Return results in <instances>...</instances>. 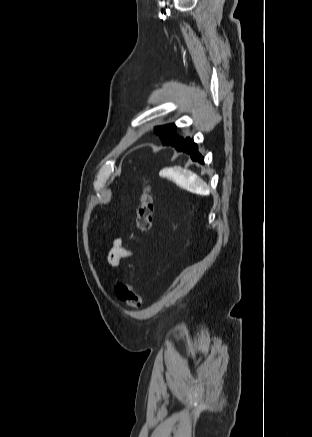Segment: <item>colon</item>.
<instances>
[{
  "instance_id": "5ec220e1",
  "label": "colon",
  "mask_w": 312,
  "mask_h": 437,
  "mask_svg": "<svg viewBox=\"0 0 312 437\" xmlns=\"http://www.w3.org/2000/svg\"><path fill=\"white\" fill-rule=\"evenodd\" d=\"M154 211L153 198L150 193V187L144 182L137 209L136 224L139 232L147 234L152 227V215ZM115 294L119 300L126 303L129 307L138 309L142 304L141 296L135 291L130 282H119L115 287Z\"/></svg>"
}]
</instances>
